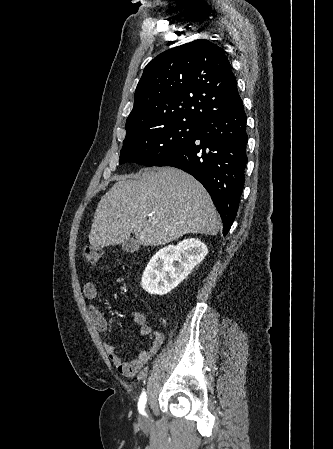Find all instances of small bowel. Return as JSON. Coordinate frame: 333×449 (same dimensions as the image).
<instances>
[{
	"instance_id": "1",
	"label": "small bowel",
	"mask_w": 333,
	"mask_h": 449,
	"mask_svg": "<svg viewBox=\"0 0 333 449\" xmlns=\"http://www.w3.org/2000/svg\"><path fill=\"white\" fill-rule=\"evenodd\" d=\"M85 297L94 301L98 295L97 285L94 282H86L83 286ZM89 316L100 332H105L108 329V322L104 318L100 310L95 306L89 307ZM132 321L139 326V333L142 337L148 338L147 346L139 351L137 357L131 361H125L117 352V346L111 343H105L104 349L110 361L117 368V370L126 376H133L139 373L142 367L156 354L163 344V335L160 332H154L147 324L144 314L138 311L131 313Z\"/></svg>"
}]
</instances>
